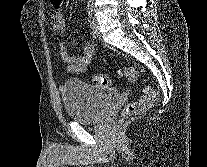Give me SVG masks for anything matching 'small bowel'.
I'll return each mask as SVG.
<instances>
[{
  "mask_svg": "<svg viewBox=\"0 0 207 167\" xmlns=\"http://www.w3.org/2000/svg\"><path fill=\"white\" fill-rule=\"evenodd\" d=\"M51 3L55 8V12L51 18L52 30L56 35H60L65 30L64 18L60 9L62 0H51ZM59 48L60 56L66 71L71 74L84 73L95 54V46L91 42L85 43L79 54H70L62 40L59 41Z\"/></svg>",
  "mask_w": 207,
  "mask_h": 167,
  "instance_id": "small-bowel-1",
  "label": "small bowel"
}]
</instances>
